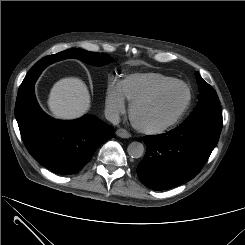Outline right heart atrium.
Wrapping results in <instances>:
<instances>
[{
  "mask_svg": "<svg viewBox=\"0 0 245 245\" xmlns=\"http://www.w3.org/2000/svg\"><path fill=\"white\" fill-rule=\"evenodd\" d=\"M105 110L111 120L118 119L126 111V100L120 83L111 81L105 89Z\"/></svg>",
  "mask_w": 245,
  "mask_h": 245,
  "instance_id": "right-heart-atrium-1",
  "label": "right heart atrium"
}]
</instances>
